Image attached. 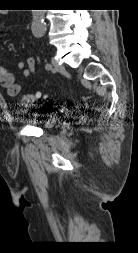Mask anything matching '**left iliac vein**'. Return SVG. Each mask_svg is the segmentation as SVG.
<instances>
[{
    "label": "left iliac vein",
    "instance_id": "obj_1",
    "mask_svg": "<svg viewBox=\"0 0 138 253\" xmlns=\"http://www.w3.org/2000/svg\"><path fill=\"white\" fill-rule=\"evenodd\" d=\"M51 63L53 65L54 72H61L64 70V66L60 65L57 60L52 59Z\"/></svg>",
    "mask_w": 138,
    "mask_h": 253
}]
</instances>
